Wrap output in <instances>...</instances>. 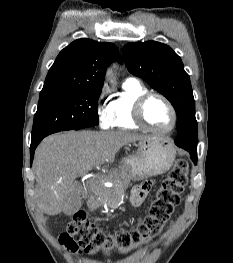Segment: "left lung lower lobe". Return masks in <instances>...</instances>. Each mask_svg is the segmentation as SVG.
<instances>
[{
    "label": "left lung lower lobe",
    "instance_id": "1",
    "mask_svg": "<svg viewBox=\"0 0 233 263\" xmlns=\"http://www.w3.org/2000/svg\"><path fill=\"white\" fill-rule=\"evenodd\" d=\"M178 147H181L187 150L190 153L191 159L193 160L194 164L197 163V146L189 144L187 142L175 143Z\"/></svg>",
    "mask_w": 233,
    "mask_h": 263
}]
</instances>
